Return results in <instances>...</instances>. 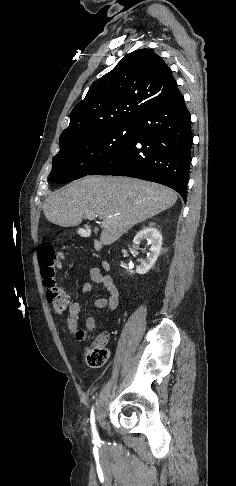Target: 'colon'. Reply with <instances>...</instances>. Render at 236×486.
<instances>
[{
	"label": "colon",
	"instance_id": "1",
	"mask_svg": "<svg viewBox=\"0 0 236 486\" xmlns=\"http://www.w3.org/2000/svg\"><path fill=\"white\" fill-rule=\"evenodd\" d=\"M61 258L62 255L49 244H43L38 248V262L44 284L47 287V299L52 309L57 313L65 311L71 302L69 294L57 283L55 278V272ZM76 337L82 340L84 333L78 331ZM108 356V349L104 345L95 344L93 347H87L84 352L85 361L92 367L102 366L107 361Z\"/></svg>",
	"mask_w": 236,
	"mask_h": 486
}]
</instances>
